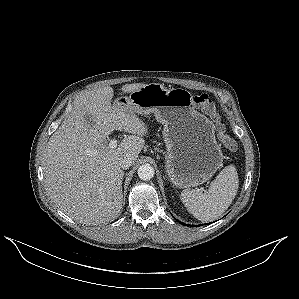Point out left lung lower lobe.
Returning a JSON list of instances; mask_svg holds the SVG:
<instances>
[{
    "label": "left lung lower lobe",
    "instance_id": "left-lung-lower-lobe-1",
    "mask_svg": "<svg viewBox=\"0 0 299 299\" xmlns=\"http://www.w3.org/2000/svg\"><path fill=\"white\" fill-rule=\"evenodd\" d=\"M178 222H180V221H178ZM181 223V222H180ZM181 224H183V223H181ZM184 225V224H183ZM187 226H189V225H187ZM199 226H201V225H199Z\"/></svg>",
    "mask_w": 299,
    "mask_h": 299
}]
</instances>
